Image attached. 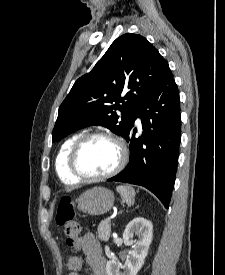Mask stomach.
Here are the masks:
<instances>
[{"mask_svg":"<svg viewBox=\"0 0 225 275\" xmlns=\"http://www.w3.org/2000/svg\"><path fill=\"white\" fill-rule=\"evenodd\" d=\"M77 207L83 213L98 216L107 213L114 204V194L103 187H94L84 192L77 200Z\"/></svg>","mask_w":225,"mask_h":275,"instance_id":"0dacf381","label":"stomach"}]
</instances>
